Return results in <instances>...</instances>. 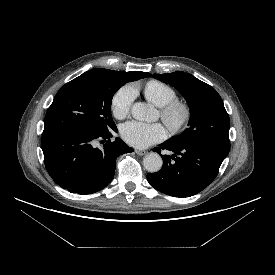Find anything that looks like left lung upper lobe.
Instances as JSON below:
<instances>
[{
    "label": "left lung upper lobe",
    "mask_w": 275,
    "mask_h": 275,
    "mask_svg": "<svg viewBox=\"0 0 275 275\" xmlns=\"http://www.w3.org/2000/svg\"><path fill=\"white\" fill-rule=\"evenodd\" d=\"M153 77L176 88L190 108L188 128L168 142L203 145L229 152V115L213 87L182 71L154 74Z\"/></svg>",
    "instance_id": "1"
}]
</instances>
